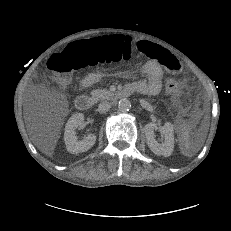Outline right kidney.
<instances>
[{
    "instance_id": "obj_1",
    "label": "right kidney",
    "mask_w": 231,
    "mask_h": 231,
    "mask_svg": "<svg viewBox=\"0 0 231 231\" xmlns=\"http://www.w3.org/2000/svg\"><path fill=\"white\" fill-rule=\"evenodd\" d=\"M84 121V115L82 113L73 114L65 126L64 141L66 149L72 154H78L88 151L96 142V136L89 134L82 140H78L75 135V130L82 125Z\"/></svg>"
}]
</instances>
